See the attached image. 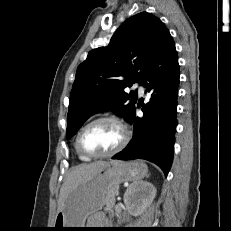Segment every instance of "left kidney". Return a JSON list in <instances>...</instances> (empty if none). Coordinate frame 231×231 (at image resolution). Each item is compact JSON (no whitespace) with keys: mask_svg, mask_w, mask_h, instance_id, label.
Listing matches in <instances>:
<instances>
[{"mask_svg":"<svg viewBox=\"0 0 231 231\" xmlns=\"http://www.w3.org/2000/svg\"><path fill=\"white\" fill-rule=\"evenodd\" d=\"M156 196V188L149 182L130 185L124 194V203L128 212L134 216L143 213Z\"/></svg>","mask_w":231,"mask_h":231,"instance_id":"left-kidney-1","label":"left kidney"}]
</instances>
